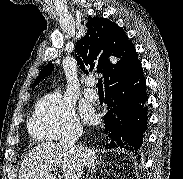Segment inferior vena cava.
Returning a JSON list of instances; mask_svg holds the SVG:
<instances>
[{"mask_svg":"<svg viewBox=\"0 0 183 179\" xmlns=\"http://www.w3.org/2000/svg\"><path fill=\"white\" fill-rule=\"evenodd\" d=\"M82 130L76 129L72 132L66 134L60 141V145L65 149L71 151L73 154H76L77 157V146L76 141L81 136ZM76 169H77V179H81L83 174V165L79 158L76 160Z\"/></svg>","mask_w":183,"mask_h":179,"instance_id":"inferior-vena-cava-1","label":"inferior vena cava"}]
</instances>
